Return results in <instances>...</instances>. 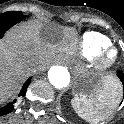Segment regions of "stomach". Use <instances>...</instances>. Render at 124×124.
Here are the masks:
<instances>
[{"label": "stomach", "mask_w": 124, "mask_h": 124, "mask_svg": "<svg viewBox=\"0 0 124 124\" xmlns=\"http://www.w3.org/2000/svg\"><path fill=\"white\" fill-rule=\"evenodd\" d=\"M107 84L110 86L114 85L110 77L99 78L94 75L82 73L74 85L73 93L75 97H93L100 90L105 89Z\"/></svg>", "instance_id": "0dacf381"}]
</instances>
